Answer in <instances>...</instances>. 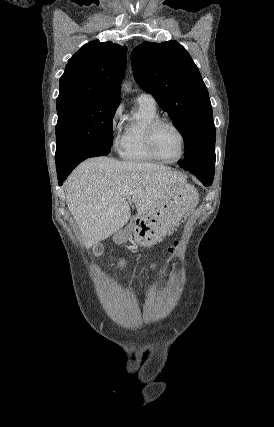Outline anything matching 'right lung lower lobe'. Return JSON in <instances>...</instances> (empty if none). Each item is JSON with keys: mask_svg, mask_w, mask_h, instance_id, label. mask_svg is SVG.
I'll return each instance as SVG.
<instances>
[{"mask_svg": "<svg viewBox=\"0 0 274 427\" xmlns=\"http://www.w3.org/2000/svg\"><path fill=\"white\" fill-rule=\"evenodd\" d=\"M110 148L111 147H107V148H100V149H96L93 150L91 152H89L87 155L79 158L78 160L74 161L73 163L67 165V166H62L57 168V175H58V183L61 186L62 183L65 181V179L67 178V176L72 172V170L83 160L90 158V157H96V156H104L107 155L110 152Z\"/></svg>", "mask_w": 274, "mask_h": 427, "instance_id": "98d812e1", "label": "right lung lower lobe"}]
</instances>
